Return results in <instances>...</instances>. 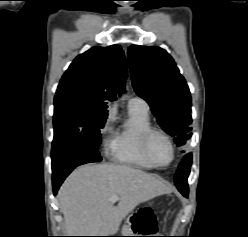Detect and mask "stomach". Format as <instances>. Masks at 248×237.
<instances>
[{
    "instance_id": "obj_1",
    "label": "stomach",
    "mask_w": 248,
    "mask_h": 237,
    "mask_svg": "<svg viewBox=\"0 0 248 237\" xmlns=\"http://www.w3.org/2000/svg\"><path fill=\"white\" fill-rule=\"evenodd\" d=\"M128 232L127 235L125 236H136L135 234L137 233L136 231H134L133 229H131L130 227H128Z\"/></svg>"
}]
</instances>
